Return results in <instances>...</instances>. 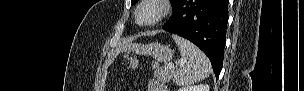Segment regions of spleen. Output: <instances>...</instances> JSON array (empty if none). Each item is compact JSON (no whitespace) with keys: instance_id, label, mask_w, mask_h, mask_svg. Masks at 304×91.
<instances>
[{"instance_id":"1","label":"spleen","mask_w":304,"mask_h":91,"mask_svg":"<svg viewBox=\"0 0 304 91\" xmlns=\"http://www.w3.org/2000/svg\"><path fill=\"white\" fill-rule=\"evenodd\" d=\"M179 47L182 60L174 75V82L179 86L191 85L204 80L211 73V64L206 55L194 44L173 36Z\"/></svg>"}]
</instances>
